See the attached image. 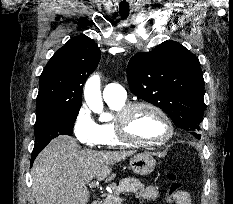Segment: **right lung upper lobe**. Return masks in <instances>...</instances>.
<instances>
[{
    "label": "right lung upper lobe",
    "instance_id": "1",
    "mask_svg": "<svg viewBox=\"0 0 233 204\" xmlns=\"http://www.w3.org/2000/svg\"><path fill=\"white\" fill-rule=\"evenodd\" d=\"M100 56L97 44L85 35L57 50L40 76L37 115L80 109L83 82L96 69Z\"/></svg>",
    "mask_w": 233,
    "mask_h": 204
}]
</instances>
